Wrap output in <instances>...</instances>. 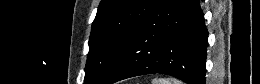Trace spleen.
<instances>
[{
  "label": "spleen",
  "instance_id": "3e777b00",
  "mask_svg": "<svg viewBox=\"0 0 260 84\" xmlns=\"http://www.w3.org/2000/svg\"><path fill=\"white\" fill-rule=\"evenodd\" d=\"M152 84H183L180 80L175 78H154Z\"/></svg>",
  "mask_w": 260,
  "mask_h": 84
}]
</instances>
